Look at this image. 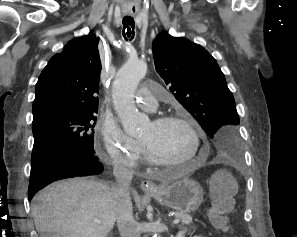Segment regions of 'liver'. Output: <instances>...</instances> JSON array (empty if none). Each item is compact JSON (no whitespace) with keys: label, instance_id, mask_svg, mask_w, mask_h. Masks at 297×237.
<instances>
[{"label":"liver","instance_id":"6515ba94","mask_svg":"<svg viewBox=\"0 0 297 237\" xmlns=\"http://www.w3.org/2000/svg\"><path fill=\"white\" fill-rule=\"evenodd\" d=\"M112 190L82 177L52 183L34 197L36 230L41 237H107L117 220Z\"/></svg>","mask_w":297,"mask_h":237}]
</instances>
